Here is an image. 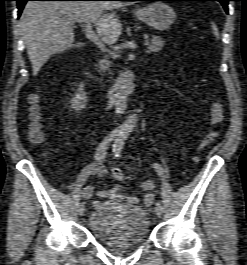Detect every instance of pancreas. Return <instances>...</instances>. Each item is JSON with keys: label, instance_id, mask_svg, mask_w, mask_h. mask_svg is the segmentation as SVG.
<instances>
[{"label": "pancreas", "instance_id": "pancreas-1", "mask_svg": "<svg viewBox=\"0 0 247 265\" xmlns=\"http://www.w3.org/2000/svg\"><path fill=\"white\" fill-rule=\"evenodd\" d=\"M164 45H165V41H163L160 36H153L152 43L148 46L147 53L150 54V53H156L158 51H161ZM110 65H111V62L107 58L99 61V68L102 72L109 70Z\"/></svg>", "mask_w": 247, "mask_h": 265}]
</instances>
